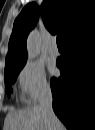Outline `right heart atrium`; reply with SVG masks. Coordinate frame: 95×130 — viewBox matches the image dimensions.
<instances>
[{
    "instance_id": "d8ad5b80",
    "label": "right heart atrium",
    "mask_w": 95,
    "mask_h": 130,
    "mask_svg": "<svg viewBox=\"0 0 95 130\" xmlns=\"http://www.w3.org/2000/svg\"><path fill=\"white\" fill-rule=\"evenodd\" d=\"M18 83L23 97L28 103L36 102L47 95L51 89L44 67L33 61H28L21 68Z\"/></svg>"
}]
</instances>
